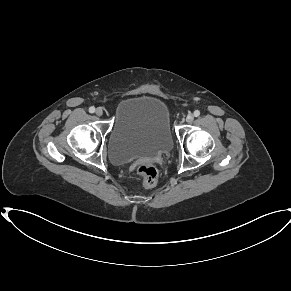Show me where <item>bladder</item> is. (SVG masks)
<instances>
[{"mask_svg": "<svg viewBox=\"0 0 291 291\" xmlns=\"http://www.w3.org/2000/svg\"><path fill=\"white\" fill-rule=\"evenodd\" d=\"M172 145L170 110L162 98L140 94L121 102L108 137V156L113 164L160 155Z\"/></svg>", "mask_w": 291, "mask_h": 291, "instance_id": "1", "label": "bladder"}]
</instances>
